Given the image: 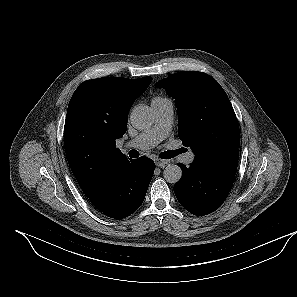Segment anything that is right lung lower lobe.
Segmentation results:
<instances>
[{"label": "right lung lower lobe", "instance_id": "right-lung-lower-lobe-1", "mask_svg": "<svg viewBox=\"0 0 297 297\" xmlns=\"http://www.w3.org/2000/svg\"><path fill=\"white\" fill-rule=\"evenodd\" d=\"M154 170V162L144 156L124 162L93 205L114 219L129 216L142 204Z\"/></svg>", "mask_w": 297, "mask_h": 297}]
</instances>
